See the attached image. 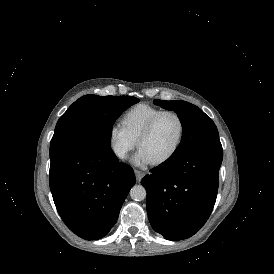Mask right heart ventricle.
<instances>
[{
  "mask_svg": "<svg viewBox=\"0 0 274 274\" xmlns=\"http://www.w3.org/2000/svg\"><path fill=\"white\" fill-rule=\"evenodd\" d=\"M161 109L147 104H138L121 116V125L127 134L136 139L141 130Z\"/></svg>",
  "mask_w": 274,
  "mask_h": 274,
  "instance_id": "right-heart-ventricle-1",
  "label": "right heart ventricle"
}]
</instances>
